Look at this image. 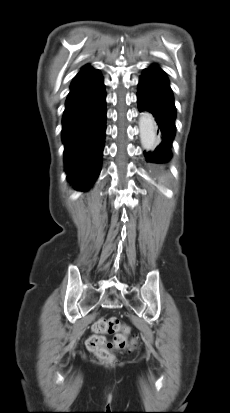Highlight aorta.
Masks as SVG:
<instances>
[{
	"label": "aorta",
	"mask_w": 230,
	"mask_h": 413,
	"mask_svg": "<svg viewBox=\"0 0 230 413\" xmlns=\"http://www.w3.org/2000/svg\"><path fill=\"white\" fill-rule=\"evenodd\" d=\"M140 139L143 148L150 150L156 144V129L153 116L143 112L139 118Z\"/></svg>",
	"instance_id": "1"
}]
</instances>
